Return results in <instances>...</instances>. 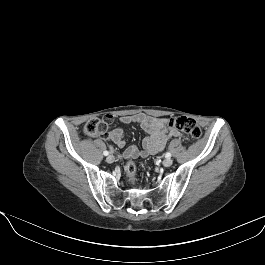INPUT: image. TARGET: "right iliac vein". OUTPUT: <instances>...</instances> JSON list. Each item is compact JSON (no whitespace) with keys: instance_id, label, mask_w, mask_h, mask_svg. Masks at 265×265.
<instances>
[{"instance_id":"1","label":"right iliac vein","mask_w":265,"mask_h":265,"mask_svg":"<svg viewBox=\"0 0 265 265\" xmlns=\"http://www.w3.org/2000/svg\"><path fill=\"white\" fill-rule=\"evenodd\" d=\"M106 161H107V163H113L114 162V156L113 155L107 156Z\"/></svg>"}]
</instances>
